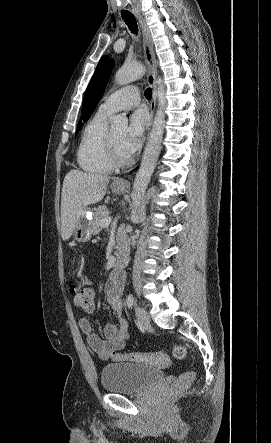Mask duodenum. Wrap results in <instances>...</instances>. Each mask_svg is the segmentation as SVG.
<instances>
[{"label": "duodenum", "instance_id": "duodenum-1", "mask_svg": "<svg viewBox=\"0 0 271 443\" xmlns=\"http://www.w3.org/2000/svg\"><path fill=\"white\" fill-rule=\"evenodd\" d=\"M126 260H127L126 255L124 253H120L115 263L114 273L116 275H120L121 270L126 264Z\"/></svg>", "mask_w": 271, "mask_h": 443}]
</instances>
